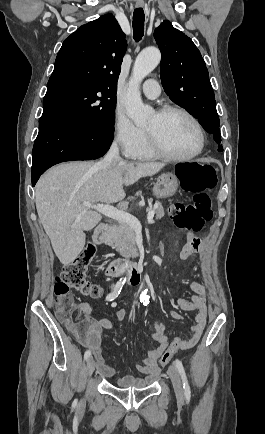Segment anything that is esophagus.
<instances>
[{
	"instance_id": "34e87169",
	"label": "esophagus",
	"mask_w": 265,
	"mask_h": 434,
	"mask_svg": "<svg viewBox=\"0 0 265 434\" xmlns=\"http://www.w3.org/2000/svg\"><path fill=\"white\" fill-rule=\"evenodd\" d=\"M143 5H144V3H138V2H137L135 6H136V7H143Z\"/></svg>"
}]
</instances>
